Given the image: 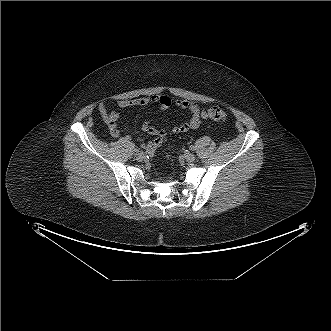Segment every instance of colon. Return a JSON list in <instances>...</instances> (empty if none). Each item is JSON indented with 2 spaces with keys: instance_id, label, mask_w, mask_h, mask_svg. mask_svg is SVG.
<instances>
[{
  "instance_id": "5ec220e1",
  "label": "colon",
  "mask_w": 331,
  "mask_h": 331,
  "mask_svg": "<svg viewBox=\"0 0 331 331\" xmlns=\"http://www.w3.org/2000/svg\"><path fill=\"white\" fill-rule=\"evenodd\" d=\"M204 117L221 123L227 120L228 114L221 106H211L204 110Z\"/></svg>"
}]
</instances>
